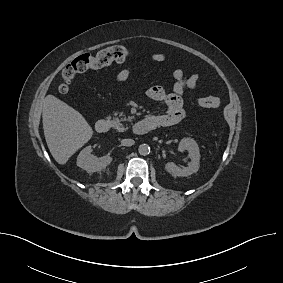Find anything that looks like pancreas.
<instances>
[{
    "label": "pancreas",
    "mask_w": 283,
    "mask_h": 283,
    "mask_svg": "<svg viewBox=\"0 0 283 283\" xmlns=\"http://www.w3.org/2000/svg\"><path fill=\"white\" fill-rule=\"evenodd\" d=\"M121 121H129V122H131L132 121V117H128V118L124 117L123 119L116 118L114 120V127H115V129H117L120 132H123L125 130V128L122 125Z\"/></svg>",
    "instance_id": "cf45deb5"
}]
</instances>
